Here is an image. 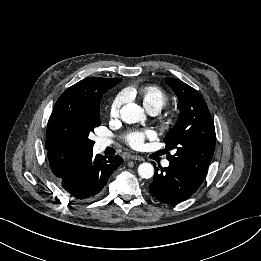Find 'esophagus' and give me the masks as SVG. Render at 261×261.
I'll list each match as a JSON object with an SVG mask.
<instances>
[{
    "mask_svg": "<svg viewBox=\"0 0 261 261\" xmlns=\"http://www.w3.org/2000/svg\"><path fill=\"white\" fill-rule=\"evenodd\" d=\"M130 158L132 160H137V161H144V158L139 156V155H131Z\"/></svg>",
    "mask_w": 261,
    "mask_h": 261,
    "instance_id": "obj_1",
    "label": "esophagus"
}]
</instances>
